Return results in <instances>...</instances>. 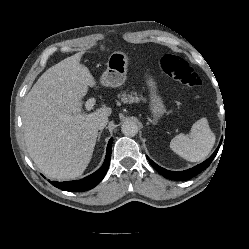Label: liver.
<instances>
[{
  "instance_id": "obj_1",
  "label": "liver",
  "mask_w": 249,
  "mask_h": 249,
  "mask_svg": "<svg viewBox=\"0 0 249 249\" xmlns=\"http://www.w3.org/2000/svg\"><path fill=\"white\" fill-rule=\"evenodd\" d=\"M83 52L46 70L26 95L23 130L27 151L49 178L70 180L88 166L98 129L95 121L111 115V108L83 112L88 85L98 89L94 77L81 64Z\"/></svg>"
}]
</instances>
